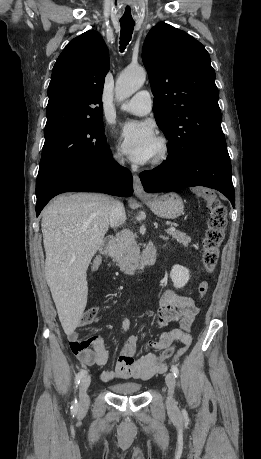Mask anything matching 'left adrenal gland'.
Returning a JSON list of instances; mask_svg holds the SVG:
<instances>
[{
  "label": "left adrenal gland",
  "instance_id": "left-adrenal-gland-1",
  "mask_svg": "<svg viewBox=\"0 0 261 459\" xmlns=\"http://www.w3.org/2000/svg\"><path fill=\"white\" fill-rule=\"evenodd\" d=\"M160 238H162L163 240H168V237H164V236H161V235H160Z\"/></svg>",
  "mask_w": 261,
  "mask_h": 459
}]
</instances>
